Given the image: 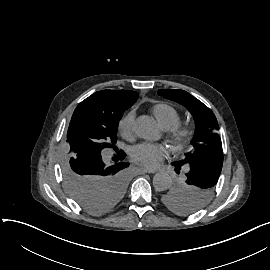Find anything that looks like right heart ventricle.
I'll return each mask as SVG.
<instances>
[{
	"instance_id": "1",
	"label": "right heart ventricle",
	"mask_w": 270,
	"mask_h": 270,
	"mask_svg": "<svg viewBox=\"0 0 270 270\" xmlns=\"http://www.w3.org/2000/svg\"><path fill=\"white\" fill-rule=\"evenodd\" d=\"M152 113L160 127L164 123H170L176 128L182 119L179 111L166 102H158L155 104L152 107Z\"/></svg>"
}]
</instances>
